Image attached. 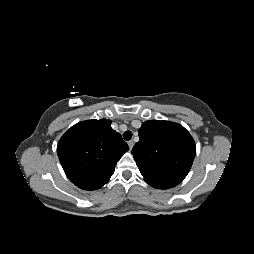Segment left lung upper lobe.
Returning a JSON list of instances; mask_svg holds the SVG:
<instances>
[{"instance_id":"obj_1","label":"left lung upper lobe","mask_w":254,"mask_h":254,"mask_svg":"<svg viewBox=\"0 0 254 254\" xmlns=\"http://www.w3.org/2000/svg\"><path fill=\"white\" fill-rule=\"evenodd\" d=\"M132 154L145 181L155 188L175 187L188 174L196 146L180 124L150 120L139 129Z\"/></svg>"}]
</instances>
